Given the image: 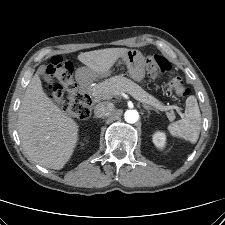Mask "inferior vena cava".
Wrapping results in <instances>:
<instances>
[{
    "label": "inferior vena cava",
    "mask_w": 225,
    "mask_h": 225,
    "mask_svg": "<svg viewBox=\"0 0 225 225\" xmlns=\"http://www.w3.org/2000/svg\"><path fill=\"white\" fill-rule=\"evenodd\" d=\"M114 109L112 103L109 102H101L98 103L94 108V114L98 118H103L109 116Z\"/></svg>",
    "instance_id": "inferior-vena-cava-1"
}]
</instances>
